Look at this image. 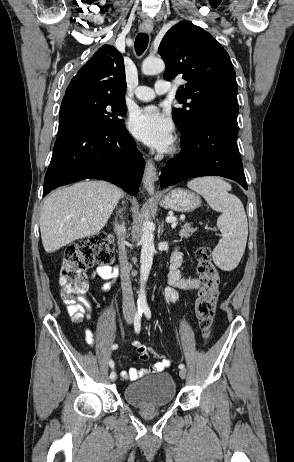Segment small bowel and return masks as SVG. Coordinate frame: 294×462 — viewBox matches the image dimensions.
I'll return each instance as SVG.
<instances>
[{
  "label": "small bowel",
  "instance_id": "c3829d8e",
  "mask_svg": "<svg viewBox=\"0 0 294 462\" xmlns=\"http://www.w3.org/2000/svg\"><path fill=\"white\" fill-rule=\"evenodd\" d=\"M182 256L178 250H175L172 254L170 261V268L168 273V287L164 291V299L166 302H175L179 299L181 292L198 290L201 286L200 279L196 277H183L180 273V266L182 265ZM118 275V269L110 265H102L95 269L92 273V277H98L106 283L102 286V291L106 292L110 289ZM84 307L87 311V318H90L91 305L88 301L82 300ZM85 338L87 344L90 346L94 345L93 332L89 329H85ZM133 346L138 351L140 358L146 360L149 355L150 348L144 346L140 342H134ZM169 366V360L161 359L150 365L148 369H130L128 371H122L121 376L130 381L137 380L141 376L149 373H157L163 371Z\"/></svg>",
  "mask_w": 294,
  "mask_h": 462
}]
</instances>
